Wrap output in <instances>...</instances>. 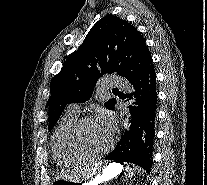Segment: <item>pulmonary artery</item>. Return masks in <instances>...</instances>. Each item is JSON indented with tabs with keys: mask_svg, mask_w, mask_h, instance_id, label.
<instances>
[{
	"mask_svg": "<svg viewBox=\"0 0 207 185\" xmlns=\"http://www.w3.org/2000/svg\"><path fill=\"white\" fill-rule=\"evenodd\" d=\"M104 85V90L110 91V86H124V81H120V77H108L107 81L104 82ZM68 111L72 113H77L79 111V106L72 104L71 106H69Z\"/></svg>",
	"mask_w": 207,
	"mask_h": 185,
	"instance_id": "pulmonary-artery-1",
	"label": "pulmonary artery"
}]
</instances>
